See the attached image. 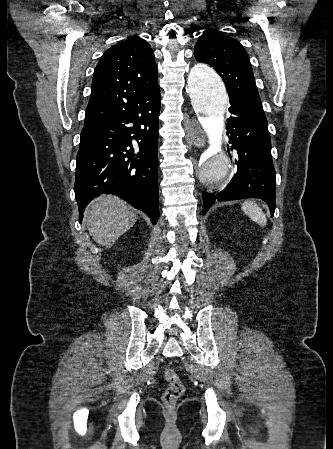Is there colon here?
<instances>
[{
	"mask_svg": "<svg viewBox=\"0 0 333 449\" xmlns=\"http://www.w3.org/2000/svg\"><path fill=\"white\" fill-rule=\"evenodd\" d=\"M164 378L168 383V387L162 395V400L165 406L173 407L183 395L185 388L178 374L172 369L164 371Z\"/></svg>",
	"mask_w": 333,
	"mask_h": 449,
	"instance_id": "colon-1",
	"label": "colon"
}]
</instances>
